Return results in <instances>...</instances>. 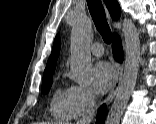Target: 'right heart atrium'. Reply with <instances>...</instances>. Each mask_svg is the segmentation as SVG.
<instances>
[{
    "mask_svg": "<svg viewBox=\"0 0 156 124\" xmlns=\"http://www.w3.org/2000/svg\"><path fill=\"white\" fill-rule=\"evenodd\" d=\"M96 105V93L91 87L70 86L67 89V107L70 118H78L92 112Z\"/></svg>",
    "mask_w": 156,
    "mask_h": 124,
    "instance_id": "obj_1",
    "label": "right heart atrium"
}]
</instances>
